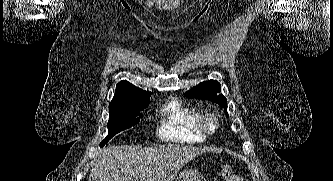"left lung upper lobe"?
<instances>
[{
    "instance_id": "5c2ea615",
    "label": "left lung upper lobe",
    "mask_w": 333,
    "mask_h": 181,
    "mask_svg": "<svg viewBox=\"0 0 333 181\" xmlns=\"http://www.w3.org/2000/svg\"><path fill=\"white\" fill-rule=\"evenodd\" d=\"M220 91V83L216 80H210L198 84L191 90L187 91L184 95L188 98L205 99L215 102L225 108V112L227 114V99L222 94H217V92Z\"/></svg>"
}]
</instances>
